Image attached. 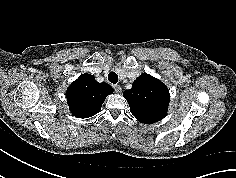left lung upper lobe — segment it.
<instances>
[{
    "instance_id": "left-lung-upper-lobe-1",
    "label": "left lung upper lobe",
    "mask_w": 236,
    "mask_h": 178,
    "mask_svg": "<svg viewBox=\"0 0 236 178\" xmlns=\"http://www.w3.org/2000/svg\"><path fill=\"white\" fill-rule=\"evenodd\" d=\"M123 96L131 113L141 123L158 122L167 114L169 91L160 80L147 73L141 74Z\"/></svg>"
}]
</instances>
